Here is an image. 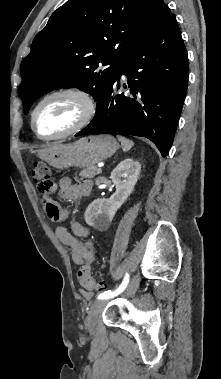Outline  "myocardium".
<instances>
[{
	"label": "myocardium",
	"instance_id": "f54148a6",
	"mask_svg": "<svg viewBox=\"0 0 221 379\" xmlns=\"http://www.w3.org/2000/svg\"><path fill=\"white\" fill-rule=\"evenodd\" d=\"M59 96H70L75 99H77L81 105H82V112L75 124H73L70 128L54 134L50 136H43L39 134L35 127V119L36 115L39 111V109L42 107V105L47 102L48 100L59 97ZM96 113V104L93 99V97L85 90L77 87H64L59 88L56 90H53L51 92H48L45 94L34 106L30 113V128L33 134L40 140L44 141H51V140H57L64 138L66 136H69L73 133H76L86 127L91 120L93 119L94 115Z\"/></svg>",
	"mask_w": 221,
	"mask_h": 379
}]
</instances>
